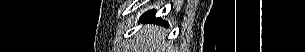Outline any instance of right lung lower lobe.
I'll return each instance as SVG.
<instances>
[{"label": "right lung lower lobe", "instance_id": "1", "mask_svg": "<svg viewBox=\"0 0 305 52\" xmlns=\"http://www.w3.org/2000/svg\"><path fill=\"white\" fill-rule=\"evenodd\" d=\"M155 13L156 12L154 10L145 13L142 16L141 21L148 20V21H151V22H156V23H159V24L161 23L163 25H167L166 22H163L161 19L155 18Z\"/></svg>", "mask_w": 305, "mask_h": 52}]
</instances>
